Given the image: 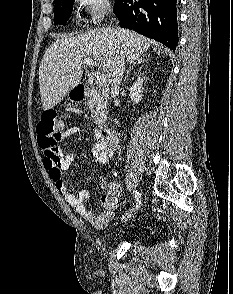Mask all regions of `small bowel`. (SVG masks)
Returning <instances> with one entry per match:
<instances>
[{"label":"small bowel","mask_w":233,"mask_h":294,"mask_svg":"<svg viewBox=\"0 0 233 294\" xmlns=\"http://www.w3.org/2000/svg\"><path fill=\"white\" fill-rule=\"evenodd\" d=\"M84 129V124L79 123L66 129L63 133L64 138H68ZM98 143L91 149V158L93 161L106 164L114 154L115 147L109 146L99 132H96ZM76 159L75 149H60L59 156L51 158L45 155L43 165L47 170L50 178L54 181L56 189L63 195L66 202L82 217L89 221L98 229L104 228L112 219L113 211L119 203L121 188L117 182H108L105 177L98 178V186L102 189L106 188L107 193L100 198V203L106 207L102 213L95 215L89 211L85 202L89 199V192L86 189H79L71 192L67 189L62 180L63 171L70 168ZM112 202L115 205L110 206Z\"/></svg>","instance_id":"small-bowel-1"}]
</instances>
